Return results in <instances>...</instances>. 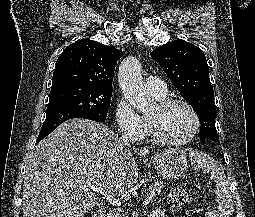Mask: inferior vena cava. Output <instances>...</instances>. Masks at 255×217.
I'll list each match as a JSON object with an SVG mask.
<instances>
[{"instance_id": "1", "label": "inferior vena cava", "mask_w": 255, "mask_h": 217, "mask_svg": "<svg viewBox=\"0 0 255 217\" xmlns=\"http://www.w3.org/2000/svg\"><path fill=\"white\" fill-rule=\"evenodd\" d=\"M129 141H130V138L125 135V134H122L121 137H120V142H121V145H129Z\"/></svg>"}]
</instances>
